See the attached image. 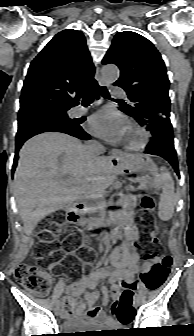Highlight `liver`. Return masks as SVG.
I'll return each instance as SVG.
<instances>
[{
    "mask_svg": "<svg viewBox=\"0 0 194 336\" xmlns=\"http://www.w3.org/2000/svg\"><path fill=\"white\" fill-rule=\"evenodd\" d=\"M120 173L112 158H92L85 144L67 134L43 133L29 139L19 152L14 175L24 232L31 235L44 217L78 199L102 195ZM64 175L70 180H61Z\"/></svg>",
    "mask_w": 194,
    "mask_h": 336,
    "instance_id": "1",
    "label": "liver"
}]
</instances>
